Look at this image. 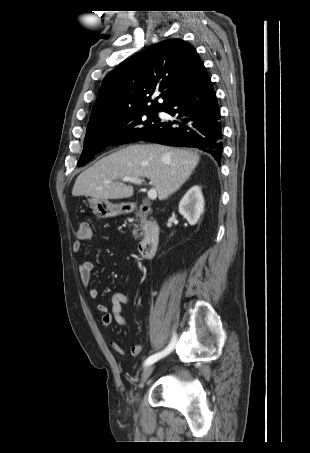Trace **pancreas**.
I'll return each mask as SVG.
<instances>
[{
    "instance_id": "1",
    "label": "pancreas",
    "mask_w": 310,
    "mask_h": 453,
    "mask_svg": "<svg viewBox=\"0 0 310 453\" xmlns=\"http://www.w3.org/2000/svg\"><path fill=\"white\" fill-rule=\"evenodd\" d=\"M141 223H143V225L141 224L140 228L138 226H136V228L133 230V235H134L135 239L139 238L143 234V232L139 233L140 230H142V231L145 230V227H146L145 222L142 221Z\"/></svg>"
}]
</instances>
